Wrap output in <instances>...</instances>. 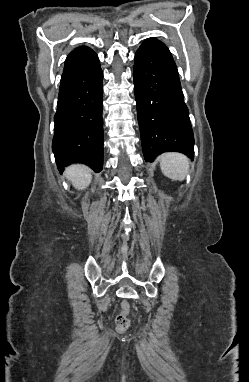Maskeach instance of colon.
Returning <instances> with one entry per match:
<instances>
[{
  "instance_id": "obj_1",
  "label": "colon",
  "mask_w": 249,
  "mask_h": 382,
  "mask_svg": "<svg viewBox=\"0 0 249 382\" xmlns=\"http://www.w3.org/2000/svg\"><path fill=\"white\" fill-rule=\"evenodd\" d=\"M130 306L128 303H122V309L116 317V328L118 331L126 330L130 325V320L128 318Z\"/></svg>"
}]
</instances>
